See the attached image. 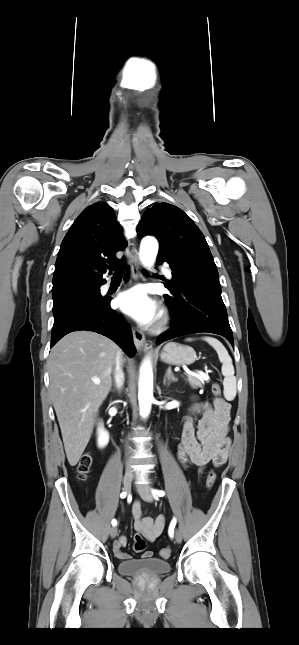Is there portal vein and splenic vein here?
Returning a JSON list of instances; mask_svg holds the SVG:
<instances>
[{"label":"portal vein and splenic vein","mask_w":299,"mask_h":645,"mask_svg":"<svg viewBox=\"0 0 299 645\" xmlns=\"http://www.w3.org/2000/svg\"><path fill=\"white\" fill-rule=\"evenodd\" d=\"M188 373H189V374H192V375H196V374L198 373L200 376H202V377H204V378H207V377H208V375H207V374H205V373H203V372H197V373H194V372H188ZM93 382H94L96 385L100 384V380H93Z\"/></svg>","instance_id":"portal-vein-and-splenic-vein-1"}]
</instances>
